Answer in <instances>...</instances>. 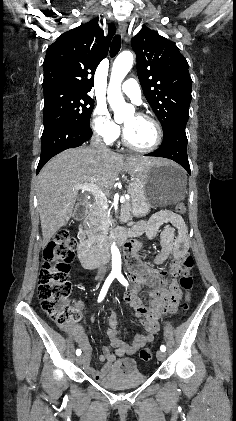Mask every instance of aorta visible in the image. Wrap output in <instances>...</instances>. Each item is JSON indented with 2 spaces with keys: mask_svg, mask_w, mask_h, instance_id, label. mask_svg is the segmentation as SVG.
<instances>
[{
  "mask_svg": "<svg viewBox=\"0 0 236 421\" xmlns=\"http://www.w3.org/2000/svg\"><path fill=\"white\" fill-rule=\"evenodd\" d=\"M133 60L134 56L132 52L130 50H123L113 62L110 82L108 84V102H110L111 108H114V98H119V100L123 98L120 88L121 82L126 74H128L130 68H132ZM111 253L112 275V273H120L121 271V255L115 245H112Z\"/></svg>",
  "mask_w": 236,
  "mask_h": 421,
  "instance_id": "1",
  "label": "aorta"
}]
</instances>
